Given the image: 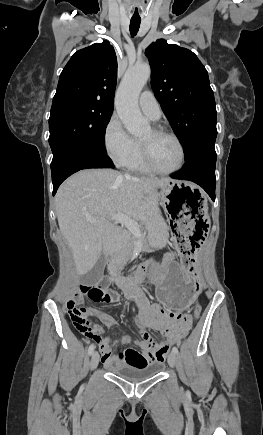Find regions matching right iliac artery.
I'll list each match as a JSON object with an SVG mask.
<instances>
[{"mask_svg":"<svg viewBox=\"0 0 263 435\" xmlns=\"http://www.w3.org/2000/svg\"><path fill=\"white\" fill-rule=\"evenodd\" d=\"M94 349H95V345L91 344L88 348V354L91 355L93 353Z\"/></svg>","mask_w":263,"mask_h":435,"instance_id":"obj_1","label":"right iliac artery"}]
</instances>
